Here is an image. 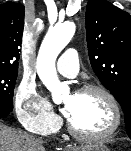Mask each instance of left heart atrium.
I'll return each mask as SVG.
<instances>
[{
  "label": "left heart atrium",
  "instance_id": "39dd6f15",
  "mask_svg": "<svg viewBox=\"0 0 131 151\" xmlns=\"http://www.w3.org/2000/svg\"><path fill=\"white\" fill-rule=\"evenodd\" d=\"M63 111H64V114L68 117L69 116V109L65 106Z\"/></svg>",
  "mask_w": 131,
  "mask_h": 151
}]
</instances>
